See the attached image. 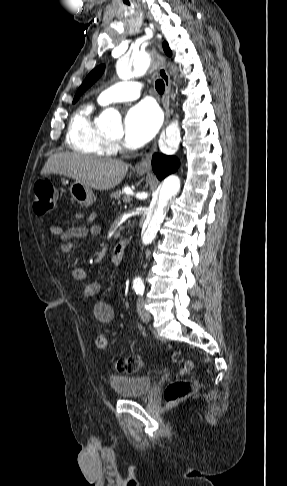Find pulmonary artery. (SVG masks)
I'll list each match as a JSON object with an SVG mask.
<instances>
[{
    "mask_svg": "<svg viewBox=\"0 0 287 486\" xmlns=\"http://www.w3.org/2000/svg\"><path fill=\"white\" fill-rule=\"evenodd\" d=\"M141 90V85L136 81L118 82L102 91L98 96V102L108 105L114 102L135 100L140 97Z\"/></svg>",
    "mask_w": 287,
    "mask_h": 486,
    "instance_id": "1",
    "label": "pulmonary artery"
}]
</instances>
